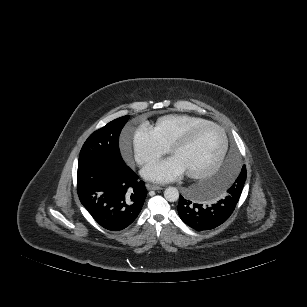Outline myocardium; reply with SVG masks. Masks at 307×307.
I'll return each mask as SVG.
<instances>
[{
  "label": "myocardium",
  "mask_w": 307,
  "mask_h": 307,
  "mask_svg": "<svg viewBox=\"0 0 307 307\" xmlns=\"http://www.w3.org/2000/svg\"><path fill=\"white\" fill-rule=\"evenodd\" d=\"M207 127H213L220 132L221 137H222V149L216 161L214 162L213 166L210 167L209 169L204 170V171H199V172H187L186 175L192 179H202V178L211 176L220 168L221 164L223 163L227 155L228 149H229V138L225 130L223 129V127L211 121L200 124V125L193 126L185 134H183L181 137L176 139L170 145V148H169V153L172 155L177 149L188 145L195 138L198 132H200L201 130Z\"/></svg>",
  "instance_id": "obj_1"
}]
</instances>
